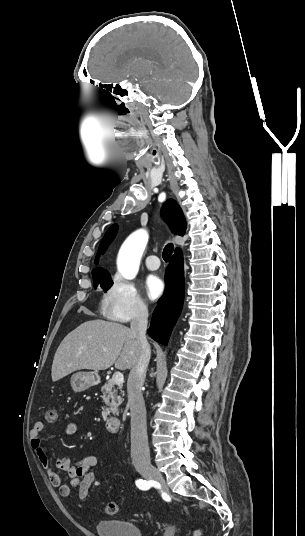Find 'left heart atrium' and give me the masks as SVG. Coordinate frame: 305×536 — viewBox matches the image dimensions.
<instances>
[{"label":"left heart atrium","instance_id":"obj_1","mask_svg":"<svg viewBox=\"0 0 305 536\" xmlns=\"http://www.w3.org/2000/svg\"><path fill=\"white\" fill-rule=\"evenodd\" d=\"M145 291L151 300H156L164 291V283L158 276L149 275L145 280Z\"/></svg>","mask_w":305,"mask_h":536}]
</instances>
